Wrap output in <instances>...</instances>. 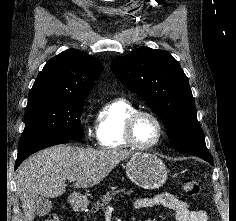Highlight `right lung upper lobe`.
<instances>
[{"instance_id": "cb5924a9", "label": "right lung upper lobe", "mask_w": 236, "mask_h": 221, "mask_svg": "<svg viewBox=\"0 0 236 221\" xmlns=\"http://www.w3.org/2000/svg\"><path fill=\"white\" fill-rule=\"evenodd\" d=\"M102 68L99 59L68 49L47 62L34 82L29 97H87Z\"/></svg>"}]
</instances>
